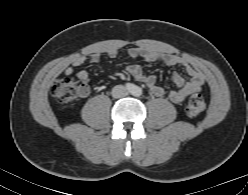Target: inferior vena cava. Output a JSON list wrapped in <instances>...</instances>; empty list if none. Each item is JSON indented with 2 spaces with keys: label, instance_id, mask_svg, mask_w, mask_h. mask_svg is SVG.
I'll use <instances>...</instances> for the list:
<instances>
[{
  "label": "inferior vena cava",
  "instance_id": "obj_1",
  "mask_svg": "<svg viewBox=\"0 0 248 195\" xmlns=\"http://www.w3.org/2000/svg\"><path fill=\"white\" fill-rule=\"evenodd\" d=\"M128 95L127 89L122 85H117L112 89V96L114 98H122Z\"/></svg>",
  "mask_w": 248,
  "mask_h": 195
}]
</instances>
